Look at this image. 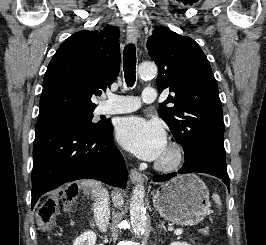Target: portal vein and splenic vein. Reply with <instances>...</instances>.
Segmentation results:
<instances>
[{
  "mask_svg": "<svg viewBox=\"0 0 266 245\" xmlns=\"http://www.w3.org/2000/svg\"><path fill=\"white\" fill-rule=\"evenodd\" d=\"M183 231H181V229H179V231H174V235H182Z\"/></svg>",
  "mask_w": 266,
  "mask_h": 245,
  "instance_id": "1",
  "label": "portal vein and splenic vein"
}]
</instances>
